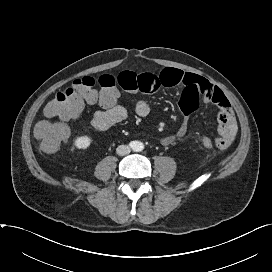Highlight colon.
<instances>
[{
  "label": "colon",
  "instance_id": "1",
  "mask_svg": "<svg viewBox=\"0 0 272 272\" xmlns=\"http://www.w3.org/2000/svg\"><path fill=\"white\" fill-rule=\"evenodd\" d=\"M118 100V83L112 75H102L97 80L90 76L75 79L69 87L59 91L44 109L46 117L61 121L42 120L35 126L34 134L40 140L42 150L53 153L59 149L70 135L66 121L79 116L86 104L98 103L103 108H110ZM201 143L205 148L214 146L210 137H203Z\"/></svg>",
  "mask_w": 272,
  "mask_h": 272
}]
</instances>
